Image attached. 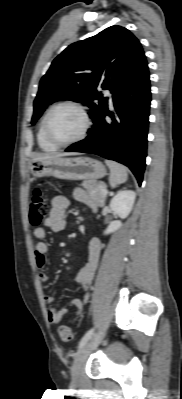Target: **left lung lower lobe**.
I'll return each mask as SVG.
<instances>
[{"label":"left lung lower lobe","instance_id":"obj_1","mask_svg":"<svg viewBox=\"0 0 182 399\" xmlns=\"http://www.w3.org/2000/svg\"><path fill=\"white\" fill-rule=\"evenodd\" d=\"M114 112L108 107L94 119L88 136L68 147L67 152L92 153L130 168L139 185L147 156V135L151 101L147 62L112 95ZM106 116L111 119L106 120Z\"/></svg>","mask_w":182,"mask_h":399}]
</instances>
